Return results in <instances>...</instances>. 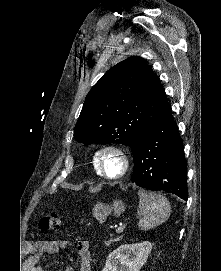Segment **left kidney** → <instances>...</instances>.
Here are the masks:
<instances>
[{"instance_id":"left-kidney-1","label":"left kidney","mask_w":221,"mask_h":271,"mask_svg":"<svg viewBox=\"0 0 221 271\" xmlns=\"http://www.w3.org/2000/svg\"><path fill=\"white\" fill-rule=\"evenodd\" d=\"M152 249L150 241L123 243L110 251L102 271H139Z\"/></svg>"}]
</instances>
